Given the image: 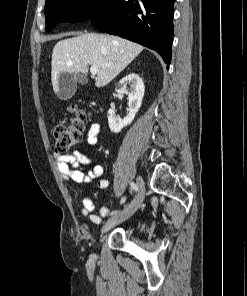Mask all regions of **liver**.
Here are the masks:
<instances>
[{
	"mask_svg": "<svg viewBox=\"0 0 247 296\" xmlns=\"http://www.w3.org/2000/svg\"><path fill=\"white\" fill-rule=\"evenodd\" d=\"M143 50V46L114 35L85 33L64 39L52 52L51 81L57 94L61 73L87 75L88 66L98 67L95 86L104 87Z\"/></svg>",
	"mask_w": 247,
	"mask_h": 296,
	"instance_id": "liver-1",
	"label": "liver"
}]
</instances>
